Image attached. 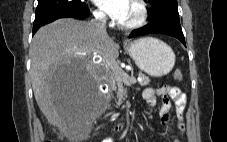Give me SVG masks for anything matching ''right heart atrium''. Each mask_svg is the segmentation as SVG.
I'll use <instances>...</instances> for the list:
<instances>
[{"label": "right heart atrium", "mask_w": 227, "mask_h": 142, "mask_svg": "<svg viewBox=\"0 0 227 142\" xmlns=\"http://www.w3.org/2000/svg\"><path fill=\"white\" fill-rule=\"evenodd\" d=\"M93 16H94L95 20H97V21H104L105 20V16L100 10H94Z\"/></svg>", "instance_id": "d8ad5b80"}]
</instances>
